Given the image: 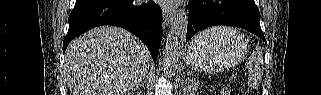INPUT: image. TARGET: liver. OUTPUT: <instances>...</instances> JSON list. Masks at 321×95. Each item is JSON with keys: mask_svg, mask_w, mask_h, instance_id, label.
<instances>
[{"mask_svg": "<svg viewBox=\"0 0 321 95\" xmlns=\"http://www.w3.org/2000/svg\"><path fill=\"white\" fill-rule=\"evenodd\" d=\"M150 62L148 49L130 32L102 26L69 44L64 73L72 95H126L146 76Z\"/></svg>", "mask_w": 321, "mask_h": 95, "instance_id": "obj_1", "label": "liver"}]
</instances>
